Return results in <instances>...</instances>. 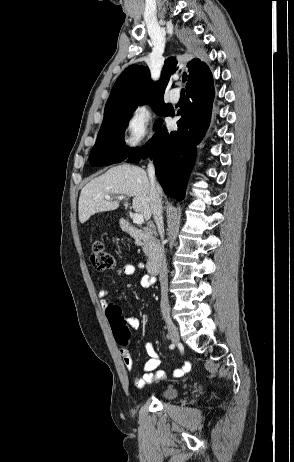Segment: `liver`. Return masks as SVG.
I'll list each match as a JSON object with an SVG mask.
<instances>
[{"instance_id": "6515ba94", "label": "liver", "mask_w": 294, "mask_h": 462, "mask_svg": "<svg viewBox=\"0 0 294 462\" xmlns=\"http://www.w3.org/2000/svg\"><path fill=\"white\" fill-rule=\"evenodd\" d=\"M159 188L160 195L162 191ZM105 195H126L133 197V209L149 220L152 215L150 182L145 170L134 165H118L92 179L79 197V221L83 224L99 212L116 210L118 201L107 200Z\"/></svg>"}]
</instances>
